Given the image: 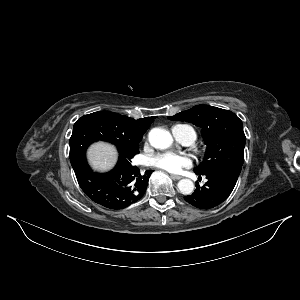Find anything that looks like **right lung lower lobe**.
I'll return each mask as SVG.
<instances>
[{"mask_svg":"<svg viewBox=\"0 0 300 300\" xmlns=\"http://www.w3.org/2000/svg\"><path fill=\"white\" fill-rule=\"evenodd\" d=\"M72 167L84 193L95 203L113 210L139 201L152 173V170H147L141 174L138 167L122 158L112 171L105 174L93 172L85 158Z\"/></svg>","mask_w":300,"mask_h":300,"instance_id":"98d812e1","label":"right lung lower lobe"}]
</instances>
